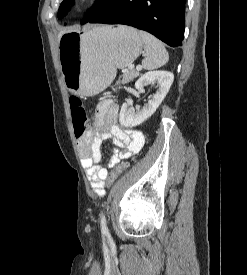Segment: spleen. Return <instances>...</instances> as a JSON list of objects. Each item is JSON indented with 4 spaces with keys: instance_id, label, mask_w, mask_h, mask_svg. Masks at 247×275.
Segmentation results:
<instances>
[{
    "instance_id": "spleen-1",
    "label": "spleen",
    "mask_w": 247,
    "mask_h": 275,
    "mask_svg": "<svg viewBox=\"0 0 247 275\" xmlns=\"http://www.w3.org/2000/svg\"><path fill=\"white\" fill-rule=\"evenodd\" d=\"M139 35L145 51V58L142 60L143 68L152 70L165 65L169 60V55L163 43L145 31H139Z\"/></svg>"
}]
</instances>
